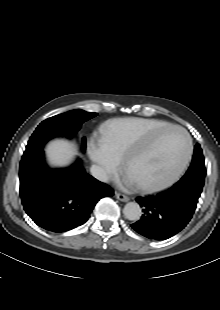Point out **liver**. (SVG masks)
<instances>
[{"label":"liver","mask_w":220,"mask_h":310,"mask_svg":"<svg viewBox=\"0 0 220 310\" xmlns=\"http://www.w3.org/2000/svg\"><path fill=\"white\" fill-rule=\"evenodd\" d=\"M46 153L50 164L54 166L68 165L77 151L74 146L65 140H55L48 144Z\"/></svg>","instance_id":"liver-1"}]
</instances>
